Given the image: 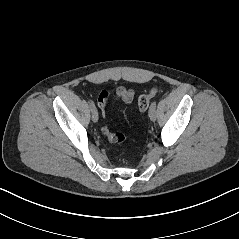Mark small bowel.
Here are the masks:
<instances>
[{
	"label": "small bowel",
	"instance_id": "c3829d8e",
	"mask_svg": "<svg viewBox=\"0 0 239 239\" xmlns=\"http://www.w3.org/2000/svg\"><path fill=\"white\" fill-rule=\"evenodd\" d=\"M116 96L119 100L128 106H132L134 102V92L126 87H119L116 90Z\"/></svg>",
	"mask_w": 239,
	"mask_h": 239
}]
</instances>
